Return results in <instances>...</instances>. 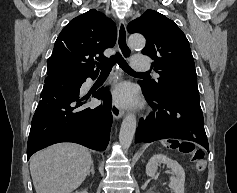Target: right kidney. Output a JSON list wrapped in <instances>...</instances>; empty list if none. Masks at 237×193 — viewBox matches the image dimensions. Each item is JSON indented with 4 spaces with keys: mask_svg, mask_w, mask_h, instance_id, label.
<instances>
[{
    "mask_svg": "<svg viewBox=\"0 0 237 193\" xmlns=\"http://www.w3.org/2000/svg\"><path fill=\"white\" fill-rule=\"evenodd\" d=\"M74 193H88L86 190H83V191H76V192H74Z\"/></svg>",
    "mask_w": 237,
    "mask_h": 193,
    "instance_id": "obj_1",
    "label": "right kidney"
}]
</instances>
